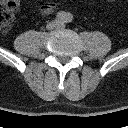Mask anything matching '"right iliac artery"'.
<instances>
[{
	"label": "right iliac artery",
	"instance_id": "1",
	"mask_svg": "<svg viewBox=\"0 0 128 128\" xmlns=\"http://www.w3.org/2000/svg\"><path fill=\"white\" fill-rule=\"evenodd\" d=\"M56 18L60 21H64L66 18V13L63 11H60L57 13Z\"/></svg>",
	"mask_w": 128,
	"mask_h": 128
}]
</instances>
